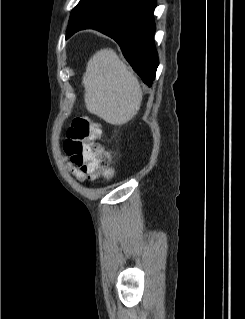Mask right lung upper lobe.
<instances>
[{
  "label": "right lung upper lobe",
  "mask_w": 245,
  "mask_h": 319,
  "mask_svg": "<svg viewBox=\"0 0 245 319\" xmlns=\"http://www.w3.org/2000/svg\"><path fill=\"white\" fill-rule=\"evenodd\" d=\"M83 1V0H81ZM80 1V2H81ZM80 2L79 4L74 8V10L71 13V17L73 20H75V23L68 24L67 29V35L74 34L76 31L80 30L81 28L87 26L90 24L93 20H88L85 13L81 11L80 8ZM70 21V20H69Z\"/></svg>",
  "instance_id": "right-lung-upper-lobe-1"
}]
</instances>
